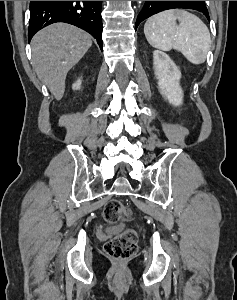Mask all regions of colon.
<instances>
[{
  "label": "colon",
  "mask_w": 237,
  "mask_h": 300,
  "mask_svg": "<svg viewBox=\"0 0 237 300\" xmlns=\"http://www.w3.org/2000/svg\"><path fill=\"white\" fill-rule=\"evenodd\" d=\"M103 218L105 221L114 223L121 217L130 218L131 210L125 207L121 201L112 199L103 207ZM104 250L108 256L117 261H126L131 258L137 250V235L132 229L111 238L106 242Z\"/></svg>",
  "instance_id": "obj_1"
}]
</instances>
